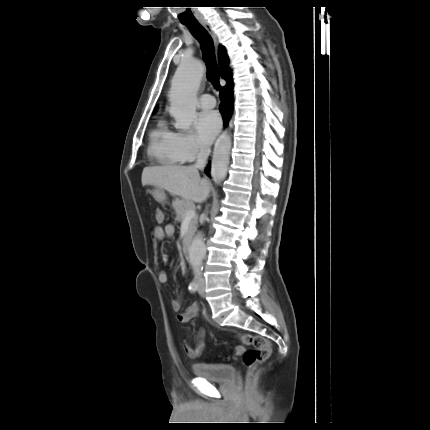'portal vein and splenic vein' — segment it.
I'll use <instances>...</instances> for the list:
<instances>
[{
  "mask_svg": "<svg viewBox=\"0 0 430 430\" xmlns=\"http://www.w3.org/2000/svg\"><path fill=\"white\" fill-rule=\"evenodd\" d=\"M196 215V210L194 208L189 209L186 214H185V219L184 220H190L191 218H193Z\"/></svg>",
  "mask_w": 430,
  "mask_h": 430,
  "instance_id": "portal-vein-and-splenic-vein-1",
  "label": "portal vein and splenic vein"
}]
</instances>
